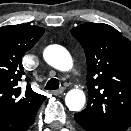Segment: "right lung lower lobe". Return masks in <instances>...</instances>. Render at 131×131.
<instances>
[{
    "label": "right lung lower lobe",
    "instance_id": "1",
    "mask_svg": "<svg viewBox=\"0 0 131 131\" xmlns=\"http://www.w3.org/2000/svg\"><path fill=\"white\" fill-rule=\"evenodd\" d=\"M38 111V110H37ZM36 112L13 121H0V131H27L34 123Z\"/></svg>",
    "mask_w": 131,
    "mask_h": 131
}]
</instances>
